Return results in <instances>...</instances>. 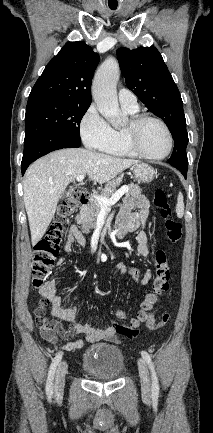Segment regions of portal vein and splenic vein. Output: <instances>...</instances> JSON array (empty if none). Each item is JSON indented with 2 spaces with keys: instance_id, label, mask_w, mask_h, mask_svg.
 I'll return each instance as SVG.
<instances>
[{
  "instance_id": "obj_1",
  "label": "portal vein and splenic vein",
  "mask_w": 213,
  "mask_h": 433,
  "mask_svg": "<svg viewBox=\"0 0 213 433\" xmlns=\"http://www.w3.org/2000/svg\"><path fill=\"white\" fill-rule=\"evenodd\" d=\"M76 180L78 182H82L84 180V175H78L76 177ZM129 191L128 186H122L120 189H118L110 198H106L103 196H94L95 200L100 204L103 208H108L112 205H114L125 193Z\"/></svg>"
}]
</instances>
